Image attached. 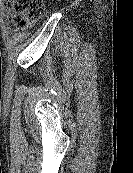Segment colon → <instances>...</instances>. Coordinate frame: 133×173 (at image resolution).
Returning a JSON list of instances; mask_svg holds the SVG:
<instances>
[{"instance_id":"colon-1","label":"colon","mask_w":133,"mask_h":173,"mask_svg":"<svg viewBox=\"0 0 133 173\" xmlns=\"http://www.w3.org/2000/svg\"><path fill=\"white\" fill-rule=\"evenodd\" d=\"M11 12L9 21L14 29H21L39 20L44 14L43 0H6Z\"/></svg>"}]
</instances>
